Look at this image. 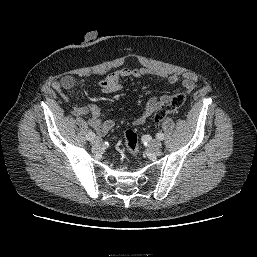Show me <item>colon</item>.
I'll use <instances>...</instances> for the list:
<instances>
[{"label": "colon", "mask_w": 257, "mask_h": 257, "mask_svg": "<svg viewBox=\"0 0 257 257\" xmlns=\"http://www.w3.org/2000/svg\"><path fill=\"white\" fill-rule=\"evenodd\" d=\"M185 95L182 93H177L170 97L169 101L163 105H161L154 115V121L159 123L161 122L168 114L174 112L181 108L185 103ZM124 145L125 148L133 155L138 152V137L137 134L128 130L124 134Z\"/></svg>", "instance_id": "5ec220e1"}]
</instances>
